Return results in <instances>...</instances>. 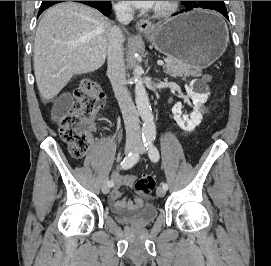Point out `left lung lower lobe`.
Segmentation results:
<instances>
[{
	"label": "left lung lower lobe",
	"mask_w": 271,
	"mask_h": 266,
	"mask_svg": "<svg viewBox=\"0 0 271 266\" xmlns=\"http://www.w3.org/2000/svg\"><path fill=\"white\" fill-rule=\"evenodd\" d=\"M189 10H192V9H189V8H186L185 11H189ZM183 12V11H180V13ZM224 17H226L227 19L229 18L228 17V13H227V10L226 11H223V12H220ZM178 13H175L173 15H176Z\"/></svg>",
	"instance_id": "obj_1"
}]
</instances>
